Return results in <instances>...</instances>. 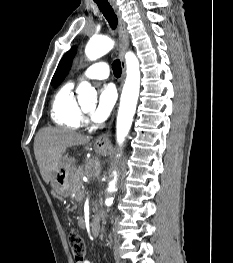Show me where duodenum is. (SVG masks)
Wrapping results in <instances>:
<instances>
[{
    "instance_id": "obj_1",
    "label": "duodenum",
    "mask_w": 233,
    "mask_h": 263,
    "mask_svg": "<svg viewBox=\"0 0 233 263\" xmlns=\"http://www.w3.org/2000/svg\"><path fill=\"white\" fill-rule=\"evenodd\" d=\"M91 232L94 236H97L100 232V221L98 217H93L90 223Z\"/></svg>"
}]
</instances>
